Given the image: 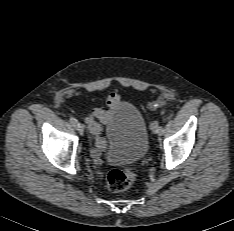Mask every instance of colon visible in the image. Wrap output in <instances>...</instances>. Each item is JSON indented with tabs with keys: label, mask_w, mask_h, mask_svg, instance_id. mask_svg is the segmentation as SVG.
Listing matches in <instances>:
<instances>
[{
	"label": "colon",
	"mask_w": 234,
	"mask_h": 231,
	"mask_svg": "<svg viewBox=\"0 0 234 231\" xmlns=\"http://www.w3.org/2000/svg\"><path fill=\"white\" fill-rule=\"evenodd\" d=\"M135 180V170L131 167L114 168L107 175L108 188L113 192L124 191Z\"/></svg>",
	"instance_id": "5ec220e1"
}]
</instances>
